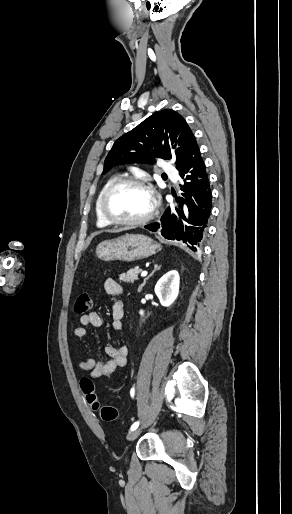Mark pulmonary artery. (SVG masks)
<instances>
[{
    "label": "pulmonary artery",
    "instance_id": "e3ab8cb5",
    "mask_svg": "<svg viewBox=\"0 0 292 514\" xmlns=\"http://www.w3.org/2000/svg\"><path fill=\"white\" fill-rule=\"evenodd\" d=\"M159 169H160L162 172H167V171L170 169V164H169L167 161H162V162L159 164Z\"/></svg>",
    "mask_w": 292,
    "mask_h": 514
}]
</instances>
